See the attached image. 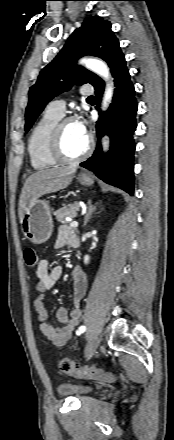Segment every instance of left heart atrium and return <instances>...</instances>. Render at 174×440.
I'll use <instances>...</instances> for the list:
<instances>
[{
  "label": "left heart atrium",
  "instance_id": "39dd6f15",
  "mask_svg": "<svg viewBox=\"0 0 174 440\" xmlns=\"http://www.w3.org/2000/svg\"><path fill=\"white\" fill-rule=\"evenodd\" d=\"M73 122H74V125H75L77 131H78L81 135H83V136H85V137H88L87 127H86V124H85L84 120H82V119L79 118V119H76V120L73 121Z\"/></svg>",
  "mask_w": 174,
  "mask_h": 440
}]
</instances>
